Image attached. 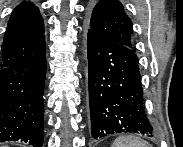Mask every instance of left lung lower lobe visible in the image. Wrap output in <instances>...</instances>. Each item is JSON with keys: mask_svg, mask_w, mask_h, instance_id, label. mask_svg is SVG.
<instances>
[{"mask_svg": "<svg viewBox=\"0 0 183 147\" xmlns=\"http://www.w3.org/2000/svg\"><path fill=\"white\" fill-rule=\"evenodd\" d=\"M88 91L93 138L115 133L153 136L143 104L137 55L132 48L87 32Z\"/></svg>", "mask_w": 183, "mask_h": 147, "instance_id": "0a47b994", "label": "left lung lower lobe"}]
</instances>
